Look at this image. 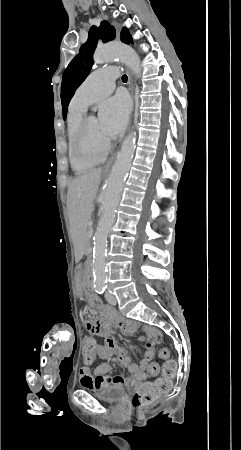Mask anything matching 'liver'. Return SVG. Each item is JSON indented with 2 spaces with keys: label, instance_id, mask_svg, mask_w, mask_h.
<instances>
[{
  "label": "liver",
  "instance_id": "1",
  "mask_svg": "<svg viewBox=\"0 0 241 450\" xmlns=\"http://www.w3.org/2000/svg\"><path fill=\"white\" fill-rule=\"evenodd\" d=\"M102 168L79 176L69 184L67 206L70 224H87L94 210L93 202L101 184Z\"/></svg>",
  "mask_w": 241,
  "mask_h": 450
}]
</instances>
